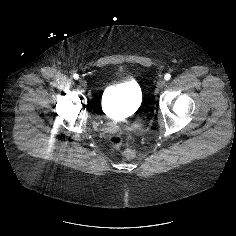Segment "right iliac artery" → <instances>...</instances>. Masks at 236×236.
<instances>
[{
	"instance_id": "right-iliac-artery-1",
	"label": "right iliac artery",
	"mask_w": 236,
	"mask_h": 236,
	"mask_svg": "<svg viewBox=\"0 0 236 236\" xmlns=\"http://www.w3.org/2000/svg\"><path fill=\"white\" fill-rule=\"evenodd\" d=\"M73 78H74L75 80H78V79H79V75H78V74H73Z\"/></svg>"
}]
</instances>
